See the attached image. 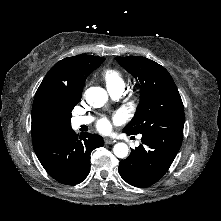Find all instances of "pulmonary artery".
I'll use <instances>...</instances> for the list:
<instances>
[{"label": "pulmonary artery", "instance_id": "obj_1", "mask_svg": "<svg viewBox=\"0 0 221 221\" xmlns=\"http://www.w3.org/2000/svg\"><path fill=\"white\" fill-rule=\"evenodd\" d=\"M123 91H124V86H118L115 88L108 89L110 96L114 99L120 98ZM92 120H93V118L90 116H77L73 119V124L76 127H79L81 125H87V124L91 123Z\"/></svg>", "mask_w": 221, "mask_h": 221}]
</instances>
